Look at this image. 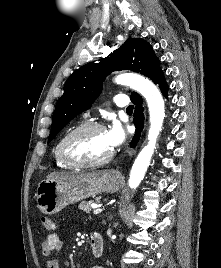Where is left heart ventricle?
Returning <instances> with one entry per match:
<instances>
[{
	"mask_svg": "<svg viewBox=\"0 0 221 268\" xmlns=\"http://www.w3.org/2000/svg\"><path fill=\"white\" fill-rule=\"evenodd\" d=\"M68 149L73 156L82 159H100L112 151L105 130H91L77 136Z\"/></svg>",
	"mask_w": 221,
	"mask_h": 268,
	"instance_id": "1",
	"label": "left heart ventricle"
}]
</instances>
